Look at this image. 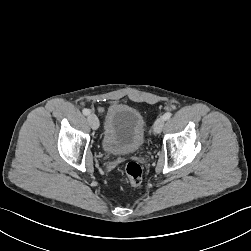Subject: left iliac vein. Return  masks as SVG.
I'll return each instance as SVG.
<instances>
[{"mask_svg": "<svg viewBox=\"0 0 251 251\" xmlns=\"http://www.w3.org/2000/svg\"><path fill=\"white\" fill-rule=\"evenodd\" d=\"M164 123H165V120L163 118H158L155 121L154 128H153L155 134H159L162 131Z\"/></svg>", "mask_w": 251, "mask_h": 251, "instance_id": "left-iliac-vein-1", "label": "left iliac vein"}]
</instances>
